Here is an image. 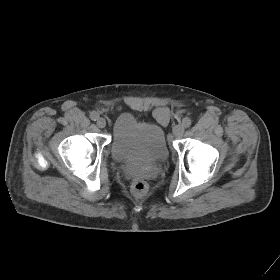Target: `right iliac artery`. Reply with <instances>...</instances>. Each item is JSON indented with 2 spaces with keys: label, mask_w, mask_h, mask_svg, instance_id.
Listing matches in <instances>:
<instances>
[{
  "label": "right iliac artery",
  "mask_w": 280,
  "mask_h": 280,
  "mask_svg": "<svg viewBox=\"0 0 280 280\" xmlns=\"http://www.w3.org/2000/svg\"><path fill=\"white\" fill-rule=\"evenodd\" d=\"M90 118H91V120L96 121L99 118V114L97 112H95V111H92L90 113Z\"/></svg>",
  "instance_id": "1"
}]
</instances>
